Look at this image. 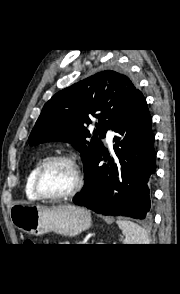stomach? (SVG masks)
Wrapping results in <instances>:
<instances>
[{"label":"stomach","mask_w":180,"mask_h":294,"mask_svg":"<svg viewBox=\"0 0 180 294\" xmlns=\"http://www.w3.org/2000/svg\"><path fill=\"white\" fill-rule=\"evenodd\" d=\"M10 217L15 227L34 236L52 231L73 237L91 226L90 212L69 204L54 207L17 204L11 208Z\"/></svg>","instance_id":"stomach-1"}]
</instances>
